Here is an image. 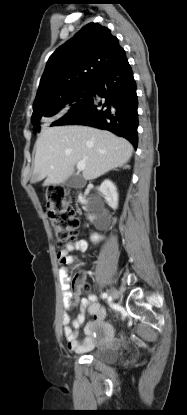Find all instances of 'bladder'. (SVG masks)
<instances>
[{"instance_id":"1","label":"bladder","mask_w":187,"mask_h":415,"mask_svg":"<svg viewBox=\"0 0 187 415\" xmlns=\"http://www.w3.org/2000/svg\"><path fill=\"white\" fill-rule=\"evenodd\" d=\"M120 354L121 348L116 346L111 348H99L92 351L89 355L93 359L103 363H114L120 358Z\"/></svg>"}]
</instances>
